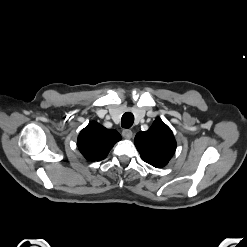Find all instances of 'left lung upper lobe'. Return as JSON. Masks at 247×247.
<instances>
[{
	"label": "left lung upper lobe",
	"instance_id": "1",
	"mask_svg": "<svg viewBox=\"0 0 247 247\" xmlns=\"http://www.w3.org/2000/svg\"><path fill=\"white\" fill-rule=\"evenodd\" d=\"M134 143L141 158L156 168L166 166L176 150L174 135L161 119H156L147 131L139 132Z\"/></svg>",
	"mask_w": 247,
	"mask_h": 247
}]
</instances>
